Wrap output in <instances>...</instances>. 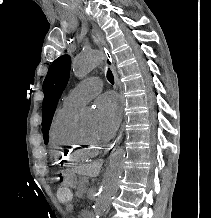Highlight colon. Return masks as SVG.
Wrapping results in <instances>:
<instances>
[{
	"label": "colon",
	"instance_id": "colon-1",
	"mask_svg": "<svg viewBox=\"0 0 211 218\" xmlns=\"http://www.w3.org/2000/svg\"><path fill=\"white\" fill-rule=\"evenodd\" d=\"M57 199L62 204H69L72 202L73 194L71 189L66 185H60L56 191Z\"/></svg>",
	"mask_w": 211,
	"mask_h": 218
}]
</instances>
